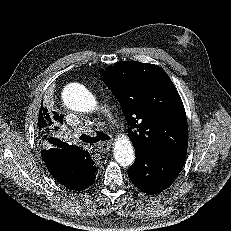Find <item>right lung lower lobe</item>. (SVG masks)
<instances>
[{
	"instance_id": "obj_1",
	"label": "right lung lower lobe",
	"mask_w": 231,
	"mask_h": 231,
	"mask_svg": "<svg viewBox=\"0 0 231 231\" xmlns=\"http://www.w3.org/2000/svg\"><path fill=\"white\" fill-rule=\"evenodd\" d=\"M85 153H86L87 158H85L84 160L79 159V161H82V163L86 165L87 170L85 172L86 173L85 178L83 179L81 186L78 189H76V191H80V190H84L88 188L90 185L94 183V180L96 178V175H95L96 167L94 166V161L91 159L88 152H85Z\"/></svg>"
}]
</instances>
